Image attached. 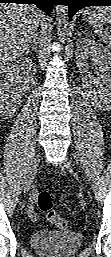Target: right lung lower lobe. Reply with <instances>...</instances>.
I'll return each instance as SVG.
<instances>
[{
    "instance_id": "98d812e1",
    "label": "right lung lower lobe",
    "mask_w": 111,
    "mask_h": 257,
    "mask_svg": "<svg viewBox=\"0 0 111 257\" xmlns=\"http://www.w3.org/2000/svg\"><path fill=\"white\" fill-rule=\"evenodd\" d=\"M54 0H0V3L35 4L45 13L50 14Z\"/></svg>"
}]
</instances>
